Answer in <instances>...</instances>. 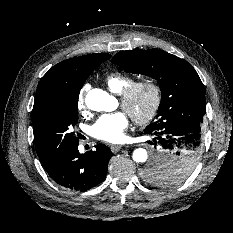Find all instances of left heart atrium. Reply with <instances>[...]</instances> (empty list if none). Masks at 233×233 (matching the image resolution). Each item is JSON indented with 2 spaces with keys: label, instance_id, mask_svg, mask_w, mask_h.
I'll return each mask as SVG.
<instances>
[{
  "label": "left heart atrium",
  "instance_id": "left-heart-atrium-1",
  "mask_svg": "<svg viewBox=\"0 0 233 233\" xmlns=\"http://www.w3.org/2000/svg\"><path fill=\"white\" fill-rule=\"evenodd\" d=\"M129 119L126 113L116 112L104 114L91 126L93 137L110 143L121 142L125 139Z\"/></svg>",
  "mask_w": 233,
  "mask_h": 233
}]
</instances>
